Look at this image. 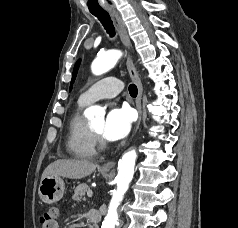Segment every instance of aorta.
Wrapping results in <instances>:
<instances>
[{"label":"aorta","mask_w":238,"mask_h":228,"mask_svg":"<svg viewBox=\"0 0 238 228\" xmlns=\"http://www.w3.org/2000/svg\"><path fill=\"white\" fill-rule=\"evenodd\" d=\"M121 56L122 52L116 49L99 54L91 65L92 73L97 76L106 73L116 65ZM103 113V109L98 106H92L86 110V115L89 118ZM136 157V151L131 149L123 154L118 163V174L116 176L117 189L113 192L108 213L101 228H116L118 224L117 209L133 178Z\"/></svg>","instance_id":"1"}]
</instances>
